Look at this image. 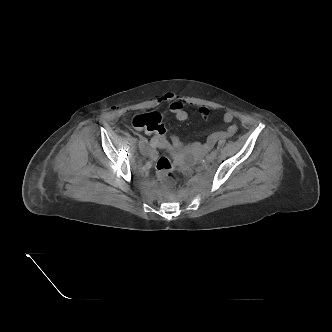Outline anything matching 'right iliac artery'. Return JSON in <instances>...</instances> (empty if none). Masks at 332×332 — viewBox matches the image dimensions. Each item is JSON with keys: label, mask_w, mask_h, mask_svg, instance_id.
<instances>
[{"label": "right iliac artery", "mask_w": 332, "mask_h": 332, "mask_svg": "<svg viewBox=\"0 0 332 332\" xmlns=\"http://www.w3.org/2000/svg\"><path fill=\"white\" fill-rule=\"evenodd\" d=\"M139 140H140V142L146 143V140L142 136H139Z\"/></svg>", "instance_id": "obj_1"}]
</instances>
